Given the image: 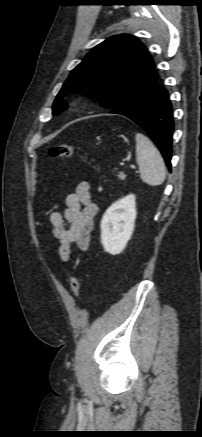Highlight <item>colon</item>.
Returning a JSON list of instances; mask_svg holds the SVG:
<instances>
[{
    "label": "colon",
    "instance_id": "1",
    "mask_svg": "<svg viewBox=\"0 0 202 437\" xmlns=\"http://www.w3.org/2000/svg\"><path fill=\"white\" fill-rule=\"evenodd\" d=\"M74 154V147L71 145H55L48 150L50 158H66ZM70 288L74 297H78L81 291V282L79 277L73 276L70 280Z\"/></svg>",
    "mask_w": 202,
    "mask_h": 437
}]
</instances>
